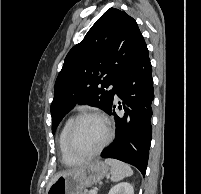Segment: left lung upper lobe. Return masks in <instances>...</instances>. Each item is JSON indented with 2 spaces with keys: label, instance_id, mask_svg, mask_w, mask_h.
<instances>
[{
  "label": "left lung upper lobe",
  "instance_id": "obj_1",
  "mask_svg": "<svg viewBox=\"0 0 201 194\" xmlns=\"http://www.w3.org/2000/svg\"><path fill=\"white\" fill-rule=\"evenodd\" d=\"M143 42L136 21L124 11L110 8L95 22L84 39L67 54L55 82L50 108L53 134L77 103L108 112ZM110 85L112 89H108Z\"/></svg>",
  "mask_w": 201,
  "mask_h": 194
}]
</instances>
